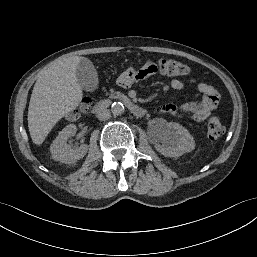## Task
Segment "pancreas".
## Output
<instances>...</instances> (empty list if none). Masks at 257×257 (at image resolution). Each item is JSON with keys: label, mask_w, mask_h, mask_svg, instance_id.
Segmentation results:
<instances>
[{"label": "pancreas", "mask_w": 257, "mask_h": 257, "mask_svg": "<svg viewBox=\"0 0 257 257\" xmlns=\"http://www.w3.org/2000/svg\"><path fill=\"white\" fill-rule=\"evenodd\" d=\"M120 95H121L120 93L116 92V93L112 94L111 96L114 97V96H120Z\"/></svg>", "instance_id": "obj_1"}]
</instances>
